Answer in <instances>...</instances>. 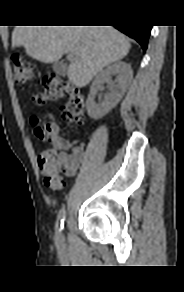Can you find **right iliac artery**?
<instances>
[{
	"instance_id": "right-iliac-artery-1",
	"label": "right iliac artery",
	"mask_w": 184,
	"mask_h": 292,
	"mask_svg": "<svg viewBox=\"0 0 184 292\" xmlns=\"http://www.w3.org/2000/svg\"><path fill=\"white\" fill-rule=\"evenodd\" d=\"M65 215H66V211H65V208L63 207V208L60 209V211L58 213V217H57V223H56V232H57V235H59V233L63 229Z\"/></svg>"
}]
</instances>
